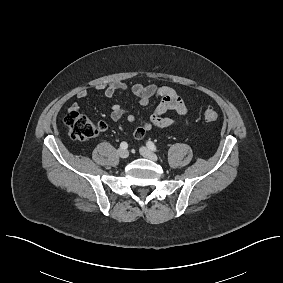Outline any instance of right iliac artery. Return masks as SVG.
I'll return each mask as SVG.
<instances>
[{
  "label": "right iliac artery",
  "mask_w": 283,
  "mask_h": 283,
  "mask_svg": "<svg viewBox=\"0 0 283 283\" xmlns=\"http://www.w3.org/2000/svg\"><path fill=\"white\" fill-rule=\"evenodd\" d=\"M120 147L122 149H127L128 148V144L126 142H121Z\"/></svg>",
  "instance_id": "82829eb1"
}]
</instances>
